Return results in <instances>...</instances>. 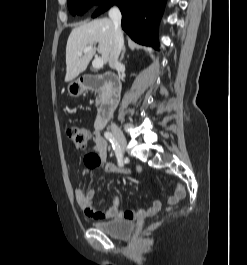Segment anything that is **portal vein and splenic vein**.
I'll return each instance as SVG.
<instances>
[{"mask_svg":"<svg viewBox=\"0 0 247 265\" xmlns=\"http://www.w3.org/2000/svg\"><path fill=\"white\" fill-rule=\"evenodd\" d=\"M93 49V46H87L82 51L78 52V55L81 56L83 53H86L88 51H91ZM103 60L101 58H95L92 62V66L95 69H100L103 67Z\"/></svg>","mask_w":247,"mask_h":265,"instance_id":"18ae733b","label":"portal vein and splenic vein"}]
</instances>
